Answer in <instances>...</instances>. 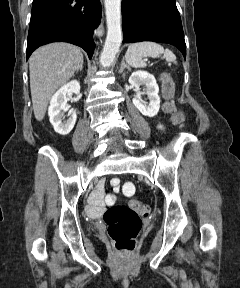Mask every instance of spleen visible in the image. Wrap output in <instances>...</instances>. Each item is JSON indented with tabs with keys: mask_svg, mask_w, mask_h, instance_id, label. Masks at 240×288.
<instances>
[{
	"mask_svg": "<svg viewBox=\"0 0 240 288\" xmlns=\"http://www.w3.org/2000/svg\"><path fill=\"white\" fill-rule=\"evenodd\" d=\"M163 55L167 61L176 63V56L169 49H164L161 45L151 42L144 41L133 43L129 45L127 52L125 54V59L127 63L133 67H144L146 66V57H160Z\"/></svg>",
	"mask_w": 240,
	"mask_h": 288,
	"instance_id": "spleen-1",
	"label": "spleen"
}]
</instances>
